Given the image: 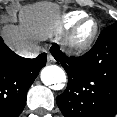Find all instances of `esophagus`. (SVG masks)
I'll list each match as a JSON object with an SVG mask.
<instances>
[{
    "label": "esophagus",
    "instance_id": "34e87169",
    "mask_svg": "<svg viewBox=\"0 0 117 117\" xmlns=\"http://www.w3.org/2000/svg\"><path fill=\"white\" fill-rule=\"evenodd\" d=\"M54 62H55L54 57L51 54L48 53V55H47V63L48 64H52Z\"/></svg>",
    "mask_w": 117,
    "mask_h": 117
}]
</instances>
